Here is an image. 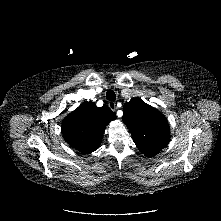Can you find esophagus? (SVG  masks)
<instances>
[{"label":"esophagus","mask_w":221,"mask_h":221,"mask_svg":"<svg viewBox=\"0 0 221 221\" xmlns=\"http://www.w3.org/2000/svg\"><path fill=\"white\" fill-rule=\"evenodd\" d=\"M108 106L111 110L115 111L117 109L116 103L115 102H109Z\"/></svg>","instance_id":"1"}]
</instances>
